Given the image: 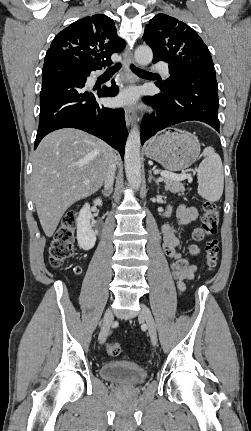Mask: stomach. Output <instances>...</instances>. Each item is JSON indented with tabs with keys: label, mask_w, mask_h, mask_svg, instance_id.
Segmentation results:
<instances>
[{
	"label": "stomach",
	"mask_w": 251,
	"mask_h": 431,
	"mask_svg": "<svg viewBox=\"0 0 251 431\" xmlns=\"http://www.w3.org/2000/svg\"><path fill=\"white\" fill-rule=\"evenodd\" d=\"M200 153V143L193 134L168 128L147 144L145 154L169 171H180L191 166Z\"/></svg>",
	"instance_id": "obj_1"
}]
</instances>
